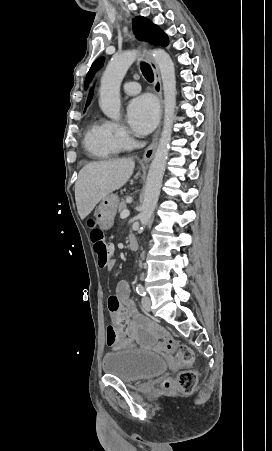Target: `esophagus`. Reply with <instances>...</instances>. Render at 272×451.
I'll return each instance as SVG.
<instances>
[{
  "label": "esophagus",
  "mask_w": 272,
  "mask_h": 451,
  "mask_svg": "<svg viewBox=\"0 0 272 451\" xmlns=\"http://www.w3.org/2000/svg\"><path fill=\"white\" fill-rule=\"evenodd\" d=\"M148 62L150 63L152 70L154 72V85H153V90L156 93V95L159 98L160 101V107H161V114L163 113V97H162V85H161V77H160V73H159V68L156 65L155 61L153 60V58L151 56L148 55ZM159 131L160 128L157 130L154 140L151 143V145L146 149V151L144 152L143 155V162L144 163H148L155 152L156 149V145H157V140H158V135H159Z\"/></svg>",
  "instance_id": "esophagus-1"
}]
</instances>
